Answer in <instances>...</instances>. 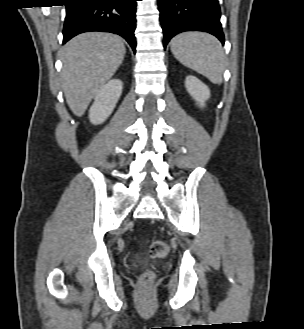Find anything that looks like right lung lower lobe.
Listing matches in <instances>:
<instances>
[{
	"instance_id": "right-lung-lower-lobe-1",
	"label": "right lung lower lobe",
	"mask_w": 304,
	"mask_h": 329,
	"mask_svg": "<svg viewBox=\"0 0 304 329\" xmlns=\"http://www.w3.org/2000/svg\"><path fill=\"white\" fill-rule=\"evenodd\" d=\"M63 43L77 34L104 31L126 39L136 52L134 36L137 0H66Z\"/></svg>"
}]
</instances>
